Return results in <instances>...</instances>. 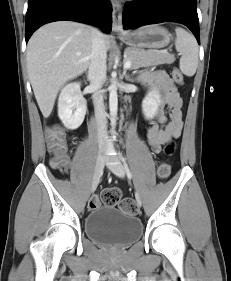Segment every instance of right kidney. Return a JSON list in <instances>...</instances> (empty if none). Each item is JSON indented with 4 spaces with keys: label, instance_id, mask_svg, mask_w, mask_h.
<instances>
[{
    "label": "right kidney",
    "instance_id": "obj_1",
    "mask_svg": "<svg viewBox=\"0 0 231 281\" xmlns=\"http://www.w3.org/2000/svg\"><path fill=\"white\" fill-rule=\"evenodd\" d=\"M87 102L80 83L73 82L63 87L58 99V116L67 129H77L84 121Z\"/></svg>",
    "mask_w": 231,
    "mask_h": 281
}]
</instances>
